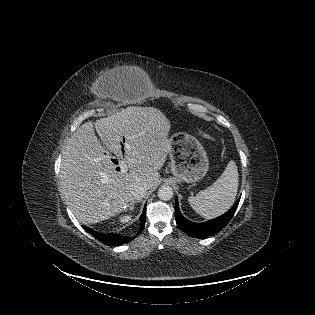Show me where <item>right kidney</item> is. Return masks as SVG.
<instances>
[{"mask_svg":"<svg viewBox=\"0 0 315 315\" xmlns=\"http://www.w3.org/2000/svg\"><path fill=\"white\" fill-rule=\"evenodd\" d=\"M131 217H132V216H130V215H124V216H122V217L120 218V222H121V223H126V222H128V221L131 219Z\"/></svg>","mask_w":315,"mask_h":315,"instance_id":"obj_1","label":"right kidney"}]
</instances>
